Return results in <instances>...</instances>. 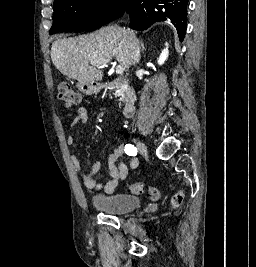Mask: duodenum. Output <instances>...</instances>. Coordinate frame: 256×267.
<instances>
[{
    "mask_svg": "<svg viewBox=\"0 0 256 267\" xmlns=\"http://www.w3.org/2000/svg\"><path fill=\"white\" fill-rule=\"evenodd\" d=\"M75 88L80 90V94H99V90L103 89H120L124 92V105L121 114L125 118L134 115V107L137 101L135 89L130 85L128 79L117 77L108 81H84L80 79L79 83H75Z\"/></svg>",
    "mask_w": 256,
    "mask_h": 267,
    "instance_id": "duodenum-1",
    "label": "duodenum"
}]
</instances>
